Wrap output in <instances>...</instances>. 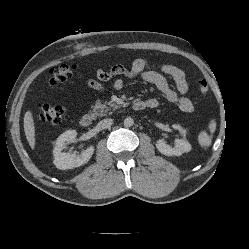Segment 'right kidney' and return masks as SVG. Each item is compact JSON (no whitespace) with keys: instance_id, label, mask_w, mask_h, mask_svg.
Wrapping results in <instances>:
<instances>
[{"instance_id":"ca27d5eb","label":"right kidney","mask_w":249,"mask_h":249,"mask_svg":"<svg viewBox=\"0 0 249 249\" xmlns=\"http://www.w3.org/2000/svg\"><path fill=\"white\" fill-rule=\"evenodd\" d=\"M77 136L75 130H68L61 134L55 143L53 150L54 164L58 169H72L86 164L93 155L94 147L90 146L84 150L79 156L74 153L62 152L63 146L70 141H73Z\"/></svg>"}]
</instances>
